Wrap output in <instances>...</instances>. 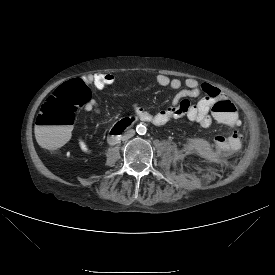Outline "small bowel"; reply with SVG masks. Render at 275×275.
<instances>
[{"mask_svg": "<svg viewBox=\"0 0 275 275\" xmlns=\"http://www.w3.org/2000/svg\"><path fill=\"white\" fill-rule=\"evenodd\" d=\"M84 81L88 85L100 89L112 85L115 78L112 74L99 73L85 76ZM155 82L160 86L170 87L177 91L173 97L172 105L155 114L145 111L139 105H134L132 109L137 119L150 122L156 126H162L172 119L186 117L202 128H209L213 124V117L210 112L214 102L218 99L226 98L225 94L218 88L208 83L200 84L192 78L182 82L178 78L159 74L155 77ZM201 95L203 97L197 102L192 103L190 101V99L198 98ZM86 110L98 112L99 106L97 103L92 102L86 105ZM79 146L82 151L86 153L91 152V148L85 140L79 139ZM242 146L243 139L237 132L220 133L213 140L212 150L215 155L227 158L240 151Z\"/></svg>", "mask_w": 275, "mask_h": 275, "instance_id": "obj_1", "label": "small bowel"}]
</instances>
